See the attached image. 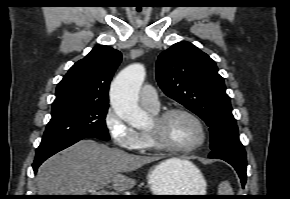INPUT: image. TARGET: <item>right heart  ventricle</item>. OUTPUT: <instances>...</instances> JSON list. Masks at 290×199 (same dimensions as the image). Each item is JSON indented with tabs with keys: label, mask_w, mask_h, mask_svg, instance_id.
Instances as JSON below:
<instances>
[{
	"label": "right heart ventricle",
	"mask_w": 290,
	"mask_h": 199,
	"mask_svg": "<svg viewBox=\"0 0 290 199\" xmlns=\"http://www.w3.org/2000/svg\"><path fill=\"white\" fill-rule=\"evenodd\" d=\"M151 112L156 113L157 111H151ZM137 150L140 152H149V151L154 150L151 146V143L149 141V138H148L146 132L139 133V146H138Z\"/></svg>",
	"instance_id": "1"
}]
</instances>
